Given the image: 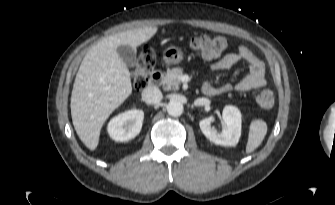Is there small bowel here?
<instances>
[{
  "label": "small bowel",
  "instance_id": "c3829d8e",
  "mask_svg": "<svg viewBox=\"0 0 335 205\" xmlns=\"http://www.w3.org/2000/svg\"><path fill=\"white\" fill-rule=\"evenodd\" d=\"M241 61H246L249 64V73L234 87L231 84H224L220 87H214L210 84H206L205 86L215 89L217 91L216 94L230 92L233 89L239 92H247L264 87L266 85L264 63L245 46H240L236 52L224 55L212 63L210 68L213 71L226 70Z\"/></svg>",
  "mask_w": 335,
  "mask_h": 205
}]
</instances>
